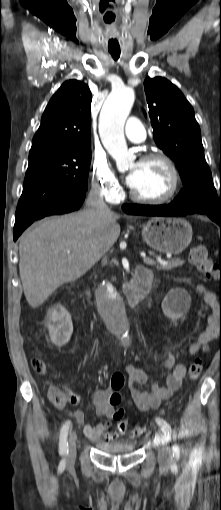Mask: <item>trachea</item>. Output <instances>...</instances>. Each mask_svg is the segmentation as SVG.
<instances>
[{
	"instance_id": "obj_1",
	"label": "trachea",
	"mask_w": 221,
	"mask_h": 510,
	"mask_svg": "<svg viewBox=\"0 0 221 510\" xmlns=\"http://www.w3.org/2000/svg\"><path fill=\"white\" fill-rule=\"evenodd\" d=\"M110 54L112 55L113 59L114 60H118L119 57H120V51L119 52H116V51H110Z\"/></svg>"
}]
</instances>
